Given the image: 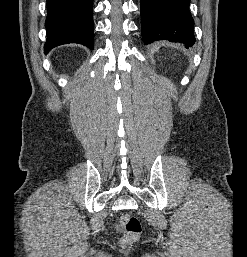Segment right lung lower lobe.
I'll return each instance as SVG.
<instances>
[{
  "label": "right lung lower lobe",
  "mask_w": 247,
  "mask_h": 257,
  "mask_svg": "<svg viewBox=\"0 0 247 257\" xmlns=\"http://www.w3.org/2000/svg\"><path fill=\"white\" fill-rule=\"evenodd\" d=\"M45 26V54L67 43H79L93 49L92 0H47Z\"/></svg>",
  "instance_id": "right-lung-lower-lobe-1"
}]
</instances>
